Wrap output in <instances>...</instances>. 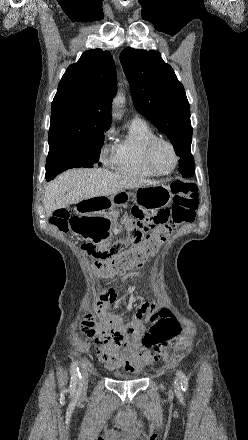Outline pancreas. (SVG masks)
<instances>
[{
  "instance_id": "pancreas-1",
  "label": "pancreas",
  "mask_w": 248,
  "mask_h": 440,
  "mask_svg": "<svg viewBox=\"0 0 248 440\" xmlns=\"http://www.w3.org/2000/svg\"><path fill=\"white\" fill-rule=\"evenodd\" d=\"M112 214H113L114 217H118V212L117 211H114Z\"/></svg>"
}]
</instances>
